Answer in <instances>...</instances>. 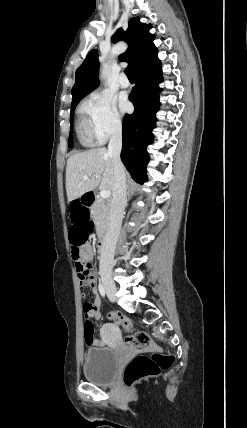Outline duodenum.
Here are the masks:
<instances>
[{"mask_svg":"<svg viewBox=\"0 0 247 428\" xmlns=\"http://www.w3.org/2000/svg\"><path fill=\"white\" fill-rule=\"evenodd\" d=\"M93 202H94V194L92 192L86 193L84 204H90V206H92ZM106 244H107V234L103 233L98 239V243H97L98 250L100 252H103L106 248Z\"/></svg>","mask_w":247,"mask_h":428,"instance_id":"410a0bca","label":"duodenum"}]
</instances>
